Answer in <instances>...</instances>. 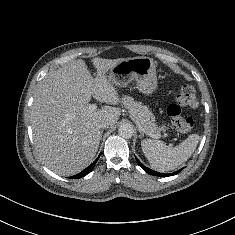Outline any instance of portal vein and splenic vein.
Listing matches in <instances>:
<instances>
[{
    "mask_svg": "<svg viewBox=\"0 0 235 235\" xmlns=\"http://www.w3.org/2000/svg\"><path fill=\"white\" fill-rule=\"evenodd\" d=\"M88 108H89L90 111H94V110H96L97 106L95 104H92V105H89ZM145 134L149 135L152 138H160L161 137L160 133L153 134V133L145 132ZM169 146H172V144H170Z\"/></svg>",
    "mask_w": 235,
    "mask_h": 235,
    "instance_id": "1",
    "label": "portal vein and splenic vein"
}]
</instances>
